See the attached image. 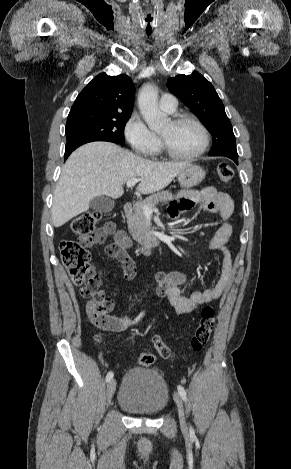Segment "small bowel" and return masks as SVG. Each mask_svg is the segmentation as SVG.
I'll list each match as a JSON object with an SVG mask.
<instances>
[{
    "label": "small bowel",
    "instance_id": "obj_1",
    "mask_svg": "<svg viewBox=\"0 0 291 469\" xmlns=\"http://www.w3.org/2000/svg\"><path fill=\"white\" fill-rule=\"evenodd\" d=\"M195 204H201L206 212L217 214L221 219L220 226L209 239L208 247L213 250L222 251L223 268L219 280L213 286L195 291L190 295H186L182 291L186 284V275L183 272L160 271L156 273V294L160 297H166L179 314L190 313L216 300L221 296L231 280V253L227 244L232 234L230 219L234 209L233 202L227 194L217 190L215 187L183 191L179 194L178 200L170 205L169 215L173 219H177ZM110 235H113L115 238L114 244L119 246L123 254L129 258L125 249L131 245V241L123 231L117 230L113 223H106L102 227L99 237L93 244H102ZM112 257L122 262L120 257ZM137 317H112L113 324L109 330L114 332L124 331L131 324L135 323Z\"/></svg>",
    "mask_w": 291,
    "mask_h": 469
}]
</instances>
